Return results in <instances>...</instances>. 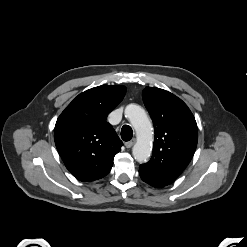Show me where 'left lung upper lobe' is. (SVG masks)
Listing matches in <instances>:
<instances>
[{
    "label": "left lung upper lobe",
    "instance_id": "obj_1",
    "mask_svg": "<svg viewBox=\"0 0 247 247\" xmlns=\"http://www.w3.org/2000/svg\"><path fill=\"white\" fill-rule=\"evenodd\" d=\"M142 97L154 124L155 139L152 158L140 165L139 174L164 187L191 161L198 140L197 124L187 105L166 90L146 87Z\"/></svg>",
    "mask_w": 247,
    "mask_h": 247
}]
</instances>
